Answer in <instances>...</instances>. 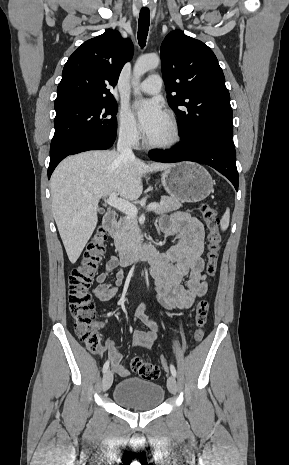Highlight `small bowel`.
<instances>
[{
	"label": "small bowel",
	"instance_id": "obj_1",
	"mask_svg": "<svg viewBox=\"0 0 289 465\" xmlns=\"http://www.w3.org/2000/svg\"><path fill=\"white\" fill-rule=\"evenodd\" d=\"M163 232L174 235L178 242L162 253L160 260L152 265L158 301L168 309H188L194 300L207 291L206 276L203 273L204 229L202 223L185 212H176L163 217L160 221ZM114 276L113 283L108 278ZM124 272L119 269L118 259L111 256L104 270L96 277L97 286L93 294L100 301L114 298L124 281ZM135 320L141 321L149 330L135 329L132 343L137 348L149 349L158 337V326L150 321L141 307L135 314ZM108 357L113 370L121 377L130 376V370L122 365L123 355L114 340L108 343Z\"/></svg>",
	"mask_w": 289,
	"mask_h": 465
}]
</instances>
